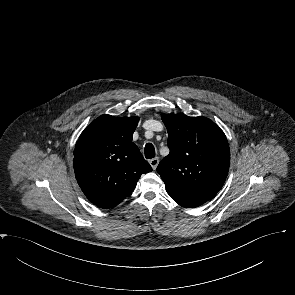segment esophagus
Here are the masks:
<instances>
[{
	"label": "esophagus",
	"mask_w": 295,
	"mask_h": 295,
	"mask_svg": "<svg viewBox=\"0 0 295 295\" xmlns=\"http://www.w3.org/2000/svg\"><path fill=\"white\" fill-rule=\"evenodd\" d=\"M149 163H150L151 167L155 170L159 164V158L155 157L153 159H150Z\"/></svg>",
	"instance_id": "34e87169"
}]
</instances>
